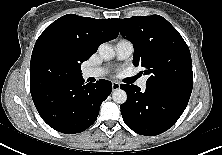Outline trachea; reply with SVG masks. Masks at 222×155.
I'll return each instance as SVG.
<instances>
[{
  "mask_svg": "<svg viewBox=\"0 0 222 155\" xmlns=\"http://www.w3.org/2000/svg\"><path fill=\"white\" fill-rule=\"evenodd\" d=\"M138 78V76H135L132 78V81L136 80Z\"/></svg>",
  "mask_w": 222,
  "mask_h": 155,
  "instance_id": "3493384b",
  "label": "trachea"
}]
</instances>
